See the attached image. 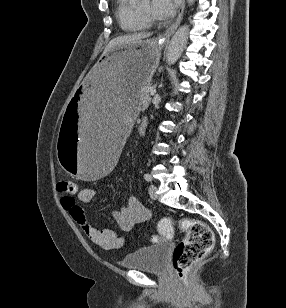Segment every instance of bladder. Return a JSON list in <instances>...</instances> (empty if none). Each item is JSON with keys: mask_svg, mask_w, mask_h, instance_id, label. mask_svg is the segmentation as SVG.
Listing matches in <instances>:
<instances>
[{"mask_svg": "<svg viewBox=\"0 0 286 308\" xmlns=\"http://www.w3.org/2000/svg\"><path fill=\"white\" fill-rule=\"evenodd\" d=\"M167 250L166 244L138 248L123 258L121 266L125 269L162 273L166 267Z\"/></svg>", "mask_w": 286, "mask_h": 308, "instance_id": "31cf9c89", "label": "bladder"}]
</instances>
